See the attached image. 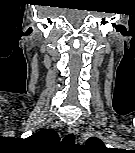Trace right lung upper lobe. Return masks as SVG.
<instances>
[{"instance_id":"right-lung-upper-lobe-1","label":"right lung upper lobe","mask_w":135,"mask_h":153,"mask_svg":"<svg viewBox=\"0 0 135 153\" xmlns=\"http://www.w3.org/2000/svg\"><path fill=\"white\" fill-rule=\"evenodd\" d=\"M27 139L36 143L45 144L59 141V136L53 129H42Z\"/></svg>"}]
</instances>
